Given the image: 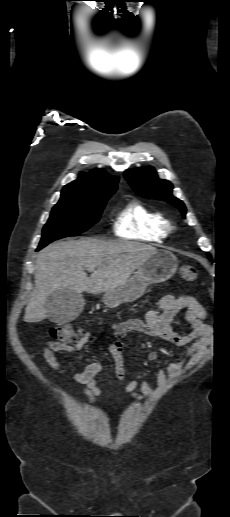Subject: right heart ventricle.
Masks as SVG:
<instances>
[{
  "label": "right heart ventricle",
  "mask_w": 230,
  "mask_h": 517,
  "mask_svg": "<svg viewBox=\"0 0 230 517\" xmlns=\"http://www.w3.org/2000/svg\"><path fill=\"white\" fill-rule=\"evenodd\" d=\"M167 224L168 221L160 211L132 200L117 213L113 230L121 238L161 242L168 234Z\"/></svg>",
  "instance_id": "1"
}]
</instances>
